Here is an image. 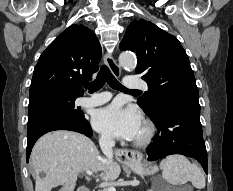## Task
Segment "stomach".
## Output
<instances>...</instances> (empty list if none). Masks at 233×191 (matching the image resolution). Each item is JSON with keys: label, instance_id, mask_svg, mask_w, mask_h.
<instances>
[{"label": "stomach", "instance_id": "obj_1", "mask_svg": "<svg viewBox=\"0 0 233 191\" xmlns=\"http://www.w3.org/2000/svg\"><path fill=\"white\" fill-rule=\"evenodd\" d=\"M129 166L136 174L140 176L152 175L158 171L156 166H145L139 161L130 163Z\"/></svg>", "mask_w": 233, "mask_h": 191}]
</instances>
